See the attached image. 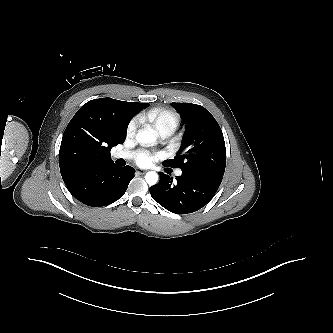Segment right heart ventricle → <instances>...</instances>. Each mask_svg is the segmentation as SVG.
Segmentation results:
<instances>
[{"instance_id": "right-heart-ventricle-1", "label": "right heart ventricle", "mask_w": 333, "mask_h": 333, "mask_svg": "<svg viewBox=\"0 0 333 333\" xmlns=\"http://www.w3.org/2000/svg\"><path fill=\"white\" fill-rule=\"evenodd\" d=\"M144 118L151 122L159 133H172L180 123V116L176 111L162 107L149 110Z\"/></svg>"}]
</instances>
